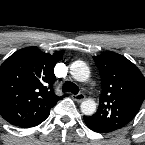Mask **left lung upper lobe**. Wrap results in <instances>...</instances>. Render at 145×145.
Here are the masks:
<instances>
[{"mask_svg":"<svg viewBox=\"0 0 145 145\" xmlns=\"http://www.w3.org/2000/svg\"><path fill=\"white\" fill-rule=\"evenodd\" d=\"M93 58L100 70L102 94L97 112L86 120L106 132L116 131L138 113L145 99V78L120 54L106 52Z\"/></svg>","mask_w":145,"mask_h":145,"instance_id":"1","label":"left lung upper lobe"}]
</instances>
